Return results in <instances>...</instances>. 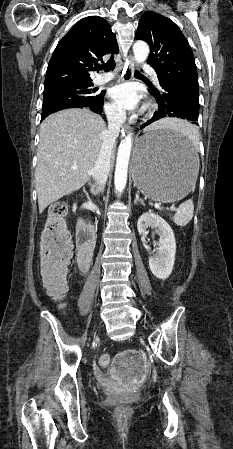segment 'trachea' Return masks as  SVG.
I'll return each mask as SVG.
<instances>
[{
    "mask_svg": "<svg viewBox=\"0 0 233 449\" xmlns=\"http://www.w3.org/2000/svg\"><path fill=\"white\" fill-rule=\"evenodd\" d=\"M115 65L116 64H115L114 58L111 57L110 60L107 63L102 64V65H98L96 67V70L103 69L105 72H109V71H111L112 69L115 68ZM136 74H139V72L136 71Z\"/></svg>",
    "mask_w": 233,
    "mask_h": 449,
    "instance_id": "trachea-1",
    "label": "trachea"
}]
</instances>
